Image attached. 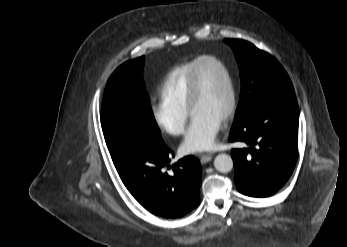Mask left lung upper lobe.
Here are the masks:
<instances>
[{
  "mask_svg": "<svg viewBox=\"0 0 347 247\" xmlns=\"http://www.w3.org/2000/svg\"><path fill=\"white\" fill-rule=\"evenodd\" d=\"M224 41L233 49L240 69L241 95L234 123L271 96L295 94L288 74L270 54L244 40Z\"/></svg>",
  "mask_w": 347,
  "mask_h": 247,
  "instance_id": "1",
  "label": "left lung upper lobe"
}]
</instances>
